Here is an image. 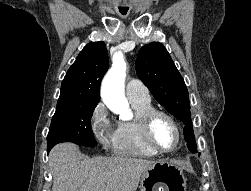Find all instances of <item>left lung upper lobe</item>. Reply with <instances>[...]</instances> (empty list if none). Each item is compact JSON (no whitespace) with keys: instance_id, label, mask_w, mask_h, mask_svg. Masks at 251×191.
<instances>
[{"instance_id":"left-lung-upper-lobe-1","label":"left lung upper lobe","mask_w":251,"mask_h":191,"mask_svg":"<svg viewBox=\"0 0 251 191\" xmlns=\"http://www.w3.org/2000/svg\"><path fill=\"white\" fill-rule=\"evenodd\" d=\"M136 72L155 99L183 121L187 147L190 152H196L188 90L165 47L158 42L143 46L137 56Z\"/></svg>"}]
</instances>
